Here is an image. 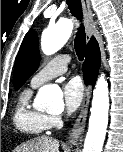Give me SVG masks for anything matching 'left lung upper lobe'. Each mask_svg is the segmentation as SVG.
Listing matches in <instances>:
<instances>
[{
  "label": "left lung upper lobe",
  "mask_w": 123,
  "mask_h": 152,
  "mask_svg": "<svg viewBox=\"0 0 123 152\" xmlns=\"http://www.w3.org/2000/svg\"><path fill=\"white\" fill-rule=\"evenodd\" d=\"M39 61L38 37L36 32L30 29L24 37L14 65L13 83L16 89L34 74L38 69Z\"/></svg>",
  "instance_id": "left-lung-upper-lobe-1"
}]
</instances>
